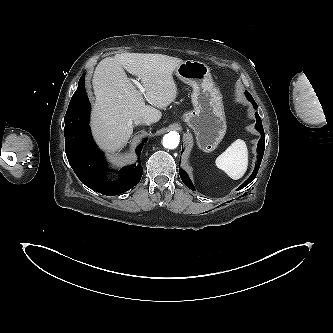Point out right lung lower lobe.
<instances>
[{
  "mask_svg": "<svg viewBox=\"0 0 333 333\" xmlns=\"http://www.w3.org/2000/svg\"><path fill=\"white\" fill-rule=\"evenodd\" d=\"M90 103L85 91L84 74L79 80L65 115V152L77 177L90 189L107 196L121 194L139 183L142 166L135 164L119 171L121 179L106 178L107 164L103 153L91 136L89 127ZM147 139L136 148L138 158Z\"/></svg>",
  "mask_w": 333,
  "mask_h": 333,
  "instance_id": "1",
  "label": "right lung lower lobe"
}]
</instances>
